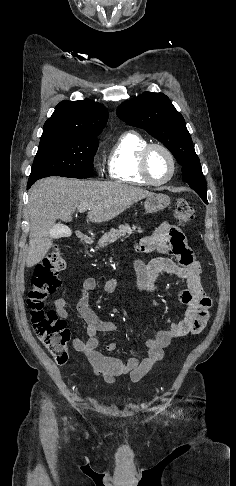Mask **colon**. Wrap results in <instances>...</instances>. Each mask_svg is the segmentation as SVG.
Returning <instances> with one entry per match:
<instances>
[{"label":"colon","instance_id":"obj_1","mask_svg":"<svg viewBox=\"0 0 236 486\" xmlns=\"http://www.w3.org/2000/svg\"><path fill=\"white\" fill-rule=\"evenodd\" d=\"M174 217L180 225H187L194 220L195 212L186 200L179 199L175 204ZM64 268L63 255L58 248H54L36 266L27 296L33 330L59 364H64L68 360L70 331L66 321L55 311L44 309V303L61 285L59 274Z\"/></svg>","mask_w":236,"mask_h":486}]
</instances>
